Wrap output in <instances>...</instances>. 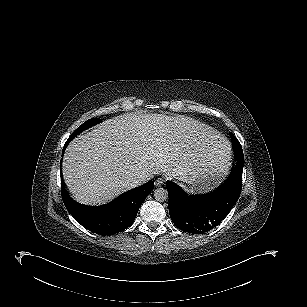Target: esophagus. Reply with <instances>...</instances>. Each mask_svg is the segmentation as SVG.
Segmentation results:
<instances>
[{
  "label": "esophagus",
  "mask_w": 307,
  "mask_h": 307,
  "mask_svg": "<svg viewBox=\"0 0 307 307\" xmlns=\"http://www.w3.org/2000/svg\"><path fill=\"white\" fill-rule=\"evenodd\" d=\"M165 182V177H159L155 181V186L159 187L162 186Z\"/></svg>",
  "instance_id": "obj_1"
}]
</instances>
